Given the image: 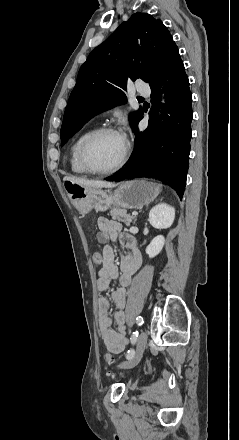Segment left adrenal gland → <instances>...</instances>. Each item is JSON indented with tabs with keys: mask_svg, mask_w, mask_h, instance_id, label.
Here are the masks:
<instances>
[{
	"mask_svg": "<svg viewBox=\"0 0 239 440\" xmlns=\"http://www.w3.org/2000/svg\"><path fill=\"white\" fill-rule=\"evenodd\" d=\"M135 222H136V218H135V220H134L133 224H135Z\"/></svg>",
	"mask_w": 239,
	"mask_h": 440,
	"instance_id": "1",
	"label": "left adrenal gland"
}]
</instances>
